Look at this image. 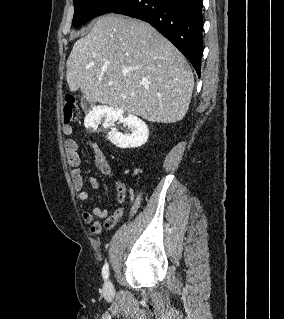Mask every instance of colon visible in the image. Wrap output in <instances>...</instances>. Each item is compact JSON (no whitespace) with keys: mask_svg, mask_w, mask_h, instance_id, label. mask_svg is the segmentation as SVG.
<instances>
[{"mask_svg":"<svg viewBox=\"0 0 284 319\" xmlns=\"http://www.w3.org/2000/svg\"><path fill=\"white\" fill-rule=\"evenodd\" d=\"M63 117L65 123L76 121L80 117V108L74 96L68 94L64 98Z\"/></svg>","mask_w":284,"mask_h":319,"instance_id":"1","label":"colon"}]
</instances>
